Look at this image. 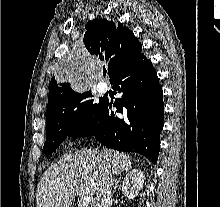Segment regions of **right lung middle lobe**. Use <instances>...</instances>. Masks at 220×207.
<instances>
[{
    "label": "right lung middle lobe",
    "mask_w": 220,
    "mask_h": 207,
    "mask_svg": "<svg viewBox=\"0 0 220 207\" xmlns=\"http://www.w3.org/2000/svg\"><path fill=\"white\" fill-rule=\"evenodd\" d=\"M92 93L76 92L46 114V142L43 154L52 153L68 136L75 134L98 110L103 99L94 103Z\"/></svg>",
    "instance_id": "1"
}]
</instances>
